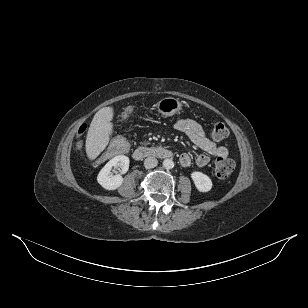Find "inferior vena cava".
I'll list each match as a JSON object with an SVG mask.
<instances>
[{"instance_id": "602c4592", "label": "inferior vena cava", "mask_w": 308, "mask_h": 308, "mask_svg": "<svg viewBox=\"0 0 308 308\" xmlns=\"http://www.w3.org/2000/svg\"><path fill=\"white\" fill-rule=\"evenodd\" d=\"M158 165V160L155 157H148L144 160V166L146 169L154 168Z\"/></svg>"}]
</instances>
